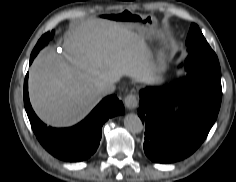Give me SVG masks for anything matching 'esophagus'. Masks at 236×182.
I'll return each instance as SVG.
<instances>
[{
	"label": "esophagus",
	"instance_id": "34e87169",
	"mask_svg": "<svg viewBox=\"0 0 236 182\" xmlns=\"http://www.w3.org/2000/svg\"><path fill=\"white\" fill-rule=\"evenodd\" d=\"M125 107L128 110H135L138 106V98L135 93L128 94L124 99Z\"/></svg>",
	"mask_w": 236,
	"mask_h": 182
}]
</instances>
